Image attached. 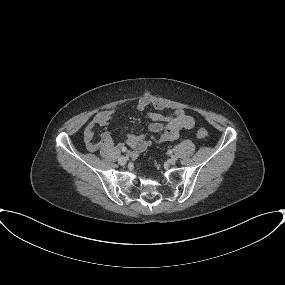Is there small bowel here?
Segmentation results:
<instances>
[{
    "label": "small bowel",
    "instance_id": "small-bowel-1",
    "mask_svg": "<svg viewBox=\"0 0 285 285\" xmlns=\"http://www.w3.org/2000/svg\"><path fill=\"white\" fill-rule=\"evenodd\" d=\"M149 106L154 107L158 111L165 110L166 104L159 100L149 97H143L137 104V109L144 112ZM114 110H102L98 112L84 129V141L86 148L95 152L100 149L111 148L114 146L113 138L108 131H104L100 135V140L95 141V130L97 127H105L113 119ZM146 116L151 120L148 124L149 135H133L126 133L125 143L118 144L121 150L128 147L131 149L133 156L144 152L152 143H164L177 139L183 129L190 130L195 126L194 119L187 115L185 111L177 109L167 115L156 112H146ZM154 134H158L155 136ZM127 149V148H126Z\"/></svg>",
    "mask_w": 285,
    "mask_h": 285
}]
</instances>
